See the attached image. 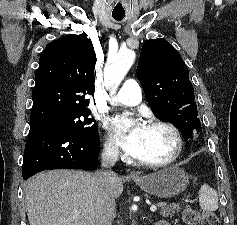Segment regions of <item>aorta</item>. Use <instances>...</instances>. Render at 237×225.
Wrapping results in <instances>:
<instances>
[{"label": "aorta", "instance_id": "obj_1", "mask_svg": "<svg viewBox=\"0 0 237 225\" xmlns=\"http://www.w3.org/2000/svg\"><path fill=\"white\" fill-rule=\"evenodd\" d=\"M135 59V53L126 49L109 57L104 69V79L107 89L115 92L117 87L127 74Z\"/></svg>", "mask_w": 237, "mask_h": 225}]
</instances>
